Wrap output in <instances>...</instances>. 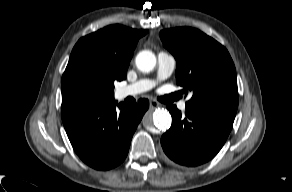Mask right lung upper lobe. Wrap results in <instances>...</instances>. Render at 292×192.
I'll list each match as a JSON object with an SVG mask.
<instances>
[{
	"label": "right lung upper lobe",
	"mask_w": 292,
	"mask_h": 192,
	"mask_svg": "<svg viewBox=\"0 0 292 192\" xmlns=\"http://www.w3.org/2000/svg\"><path fill=\"white\" fill-rule=\"evenodd\" d=\"M147 32L122 25L107 26L81 38L72 50L68 65L81 61L100 74L121 81L126 78L139 38Z\"/></svg>",
	"instance_id": "right-lung-upper-lobe-1"
}]
</instances>
